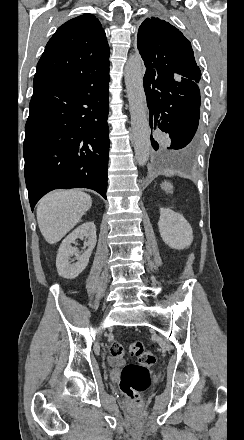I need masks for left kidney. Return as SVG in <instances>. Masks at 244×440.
<instances>
[{
    "label": "left kidney",
    "mask_w": 244,
    "mask_h": 440,
    "mask_svg": "<svg viewBox=\"0 0 244 440\" xmlns=\"http://www.w3.org/2000/svg\"><path fill=\"white\" fill-rule=\"evenodd\" d=\"M158 228L163 242L169 248L183 250L193 242V230L190 224L182 214H176L170 208H160Z\"/></svg>",
    "instance_id": "obj_1"
}]
</instances>
